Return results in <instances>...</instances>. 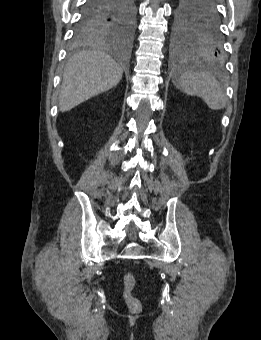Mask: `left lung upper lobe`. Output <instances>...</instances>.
Here are the masks:
<instances>
[{"mask_svg": "<svg viewBox=\"0 0 261 340\" xmlns=\"http://www.w3.org/2000/svg\"><path fill=\"white\" fill-rule=\"evenodd\" d=\"M207 0H179L172 27L174 47L192 49L211 58L224 56V39L216 6Z\"/></svg>", "mask_w": 261, "mask_h": 340, "instance_id": "left-lung-upper-lobe-1", "label": "left lung upper lobe"}]
</instances>
